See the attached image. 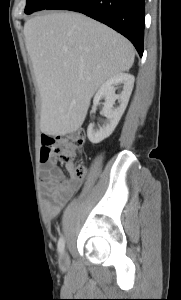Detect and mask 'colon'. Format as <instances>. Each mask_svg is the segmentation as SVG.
<instances>
[{
	"instance_id": "obj_1",
	"label": "colon",
	"mask_w": 181,
	"mask_h": 300,
	"mask_svg": "<svg viewBox=\"0 0 181 300\" xmlns=\"http://www.w3.org/2000/svg\"><path fill=\"white\" fill-rule=\"evenodd\" d=\"M85 135L82 131L67 136L43 137L42 138V161L50 155H55L57 159L66 165L72 178L81 179L86 172L83 163L77 162L83 147Z\"/></svg>"
}]
</instances>
